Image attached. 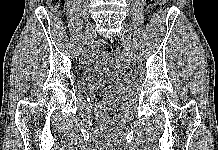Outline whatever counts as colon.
Returning a JSON list of instances; mask_svg holds the SVG:
<instances>
[{"label": "colon", "mask_w": 218, "mask_h": 150, "mask_svg": "<svg viewBox=\"0 0 218 150\" xmlns=\"http://www.w3.org/2000/svg\"><path fill=\"white\" fill-rule=\"evenodd\" d=\"M145 2H146L147 11L151 15L160 13L164 6V0H146ZM64 4H65L64 0H48L49 7L54 11H58L61 8H63ZM95 48L96 51L101 55L108 56L112 52L111 45L105 40L97 41ZM96 95L100 99L104 97L103 92L101 90H98Z\"/></svg>", "instance_id": "5ec220e1"}]
</instances>
